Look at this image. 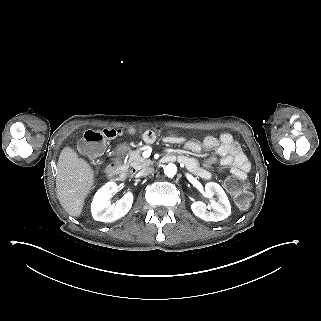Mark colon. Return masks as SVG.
Listing matches in <instances>:
<instances>
[{
    "instance_id": "colon-1",
    "label": "colon",
    "mask_w": 321,
    "mask_h": 321,
    "mask_svg": "<svg viewBox=\"0 0 321 321\" xmlns=\"http://www.w3.org/2000/svg\"><path fill=\"white\" fill-rule=\"evenodd\" d=\"M120 131L113 128H104L101 130H87L79 142V149L84 154L97 157L103 151L105 143L115 138ZM227 190L233 195L236 205L245 209L250 204V192L246 183V176H229L225 181Z\"/></svg>"
}]
</instances>
